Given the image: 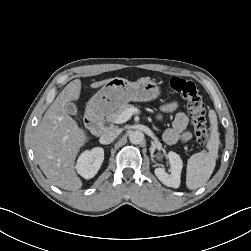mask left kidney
<instances>
[{"label": "left kidney", "mask_w": 251, "mask_h": 251, "mask_svg": "<svg viewBox=\"0 0 251 251\" xmlns=\"http://www.w3.org/2000/svg\"><path fill=\"white\" fill-rule=\"evenodd\" d=\"M170 161V174L166 173L163 168H156L154 170L157 178L166 186L172 188H178L180 186L181 181V171L183 168V162L180 156L170 151L167 155Z\"/></svg>", "instance_id": "left-kidney-1"}]
</instances>
